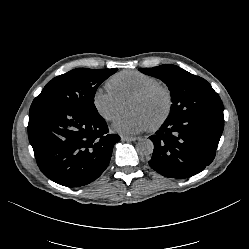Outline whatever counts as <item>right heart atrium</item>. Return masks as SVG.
Here are the masks:
<instances>
[{"instance_id": "right-heart-atrium-1", "label": "right heart atrium", "mask_w": 249, "mask_h": 249, "mask_svg": "<svg viewBox=\"0 0 249 249\" xmlns=\"http://www.w3.org/2000/svg\"><path fill=\"white\" fill-rule=\"evenodd\" d=\"M92 104L102 119L110 121L120 110L122 101L108 87H97L92 96Z\"/></svg>"}]
</instances>
